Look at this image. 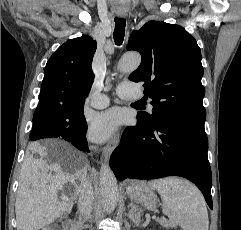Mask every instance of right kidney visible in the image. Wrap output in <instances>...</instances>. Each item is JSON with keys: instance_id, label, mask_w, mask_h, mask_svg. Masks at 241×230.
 <instances>
[{"instance_id": "obj_1", "label": "right kidney", "mask_w": 241, "mask_h": 230, "mask_svg": "<svg viewBox=\"0 0 241 230\" xmlns=\"http://www.w3.org/2000/svg\"><path fill=\"white\" fill-rule=\"evenodd\" d=\"M42 230H50L49 228H43Z\"/></svg>"}]
</instances>
